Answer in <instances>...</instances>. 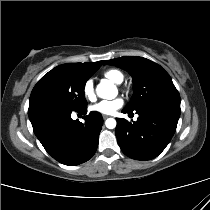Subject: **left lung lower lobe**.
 Wrapping results in <instances>:
<instances>
[{
    "label": "left lung lower lobe",
    "mask_w": 210,
    "mask_h": 210,
    "mask_svg": "<svg viewBox=\"0 0 210 210\" xmlns=\"http://www.w3.org/2000/svg\"><path fill=\"white\" fill-rule=\"evenodd\" d=\"M137 121L131 123L117 118L115 134L122 152L136 160H151L157 157L174 135L180 117V105L155 103L135 111Z\"/></svg>",
    "instance_id": "1"
}]
</instances>
